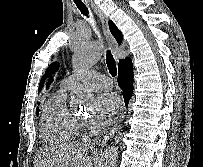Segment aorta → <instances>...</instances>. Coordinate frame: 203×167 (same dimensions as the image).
Listing matches in <instances>:
<instances>
[{
  "label": "aorta",
  "instance_id": "obj_1",
  "mask_svg": "<svg viewBox=\"0 0 203 167\" xmlns=\"http://www.w3.org/2000/svg\"><path fill=\"white\" fill-rule=\"evenodd\" d=\"M103 54V46L99 42H82L79 44L73 55V65L78 71L88 69L95 65ZM76 100L82 104L88 103L92 99L90 91L78 85L73 90ZM118 158V148L108 147L100 167H115Z\"/></svg>",
  "mask_w": 203,
  "mask_h": 167
}]
</instances>
